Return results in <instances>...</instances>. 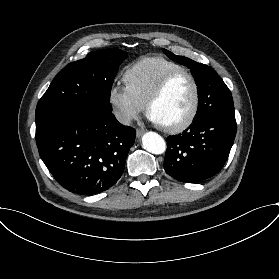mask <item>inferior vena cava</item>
I'll use <instances>...</instances> for the list:
<instances>
[{
    "mask_svg": "<svg viewBox=\"0 0 279 279\" xmlns=\"http://www.w3.org/2000/svg\"><path fill=\"white\" fill-rule=\"evenodd\" d=\"M115 117L118 120L119 123H121L122 125L128 126L131 124L132 122V117L124 112H116L115 113Z\"/></svg>",
    "mask_w": 279,
    "mask_h": 279,
    "instance_id": "602c4592",
    "label": "inferior vena cava"
}]
</instances>
